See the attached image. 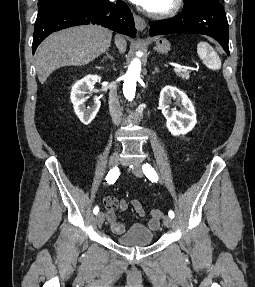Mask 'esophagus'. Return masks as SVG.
Returning <instances> with one entry per match:
<instances>
[{
	"instance_id": "34e87169",
	"label": "esophagus",
	"mask_w": 255,
	"mask_h": 287,
	"mask_svg": "<svg viewBox=\"0 0 255 287\" xmlns=\"http://www.w3.org/2000/svg\"><path fill=\"white\" fill-rule=\"evenodd\" d=\"M134 20H135L136 29L139 30L140 32H144L147 26L145 20L136 14H134Z\"/></svg>"
}]
</instances>
